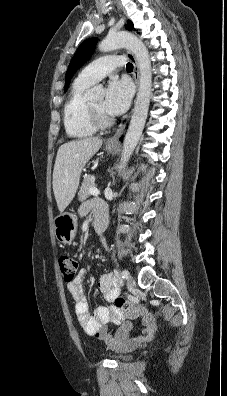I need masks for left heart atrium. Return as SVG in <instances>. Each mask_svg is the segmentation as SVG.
Instances as JSON below:
<instances>
[{
  "instance_id": "obj_1",
  "label": "left heart atrium",
  "mask_w": 227,
  "mask_h": 396,
  "mask_svg": "<svg viewBox=\"0 0 227 396\" xmlns=\"http://www.w3.org/2000/svg\"><path fill=\"white\" fill-rule=\"evenodd\" d=\"M133 89L131 84L125 79H112L106 90L103 102L104 111L108 115H120L129 107Z\"/></svg>"
}]
</instances>
